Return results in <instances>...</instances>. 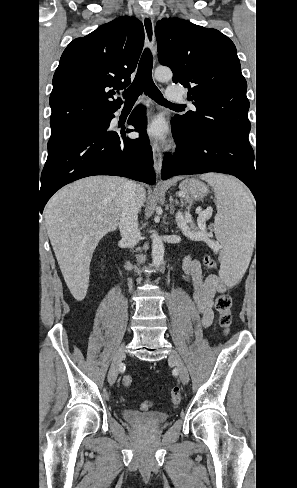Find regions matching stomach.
Instances as JSON below:
<instances>
[{
    "label": "stomach",
    "instance_id": "0dacf381",
    "mask_svg": "<svg viewBox=\"0 0 297 488\" xmlns=\"http://www.w3.org/2000/svg\"><path fill=\"white\" fill-rule=\"evenodd\" d=\"M179 189L187 198L192 200H201L208 193L207 186L203 182L193 178H187L182 181Z\"/></svg>",
    "mask_w": 297,
    "mask_h": 488
}]
</instances>
